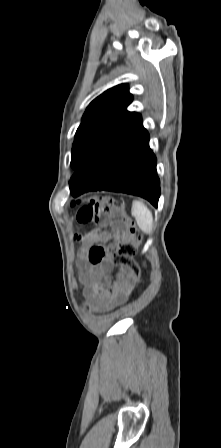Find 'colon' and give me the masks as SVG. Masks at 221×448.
I'll return each mask as SVG.
<instances>
[{"label": "colon", "mask_w": 221, "mask_h": 448, "mask_svg": "<svg viewBox=\"0 0 221 448\" xmlns=\"http://www.w3.org/2000/svg\"><path fill=\"white\" fill-rule=\"evenodd\" d=\"M80 224L106 222L119 225L121 223L128 235V240L113 244L106 248L101 244L92 245L86 258L90 264H100L106 260L125 268L133 277L135 284L140 283L141 269L135 256L142 241V235L134 222L122 212V203L110 196L99 195L91 198L77 212Z\"/></svg>", "instance_id": "1"}]
</instances>
